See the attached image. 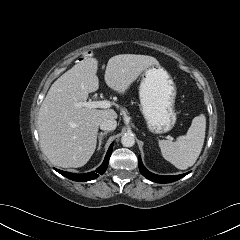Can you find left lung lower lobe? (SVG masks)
Returning a JSON list of instances; mask_svg holds the SVG:
<instances>
[{
    "label": "left lung lower lobe",
    "mask_w": 240,
    "mask_h": 240,
    "mask_svg": "<svg viewBox=\"0 0 240 240\" xmlns=\"http://www.w3.org/2000/svg\"><path fill=\"white\" fill-rule=\"evenodd\" d=\"M138 166H139V170L141 172V174L143 176H145L147 179L153 181V182H157V183H169V182H173L176 180L181 179L182 177H184L185 175H187L188 173L185 174H181V175H176V176H160V175H155L151 172H149L142 164L141 158L139 157L138 160Z\"/></svg>",
    "instance_id": "obj_1"
}]
</instances>
